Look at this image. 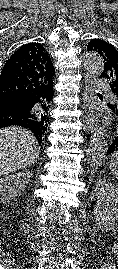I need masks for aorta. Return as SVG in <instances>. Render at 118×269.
<instances>
[{"label":"aorta","instance_id":"1","mask_svg":"<svg viewBox=\"0 0 118 269\" xmlns=\"http://www.w3.org/2000/svg\"><path fill=\"white\" fill-rule=\"evenodd\" d=\"M84 66L92 74L100 75L104 68V60L97 53H89L84 57ZM107 141L100 129H95L86 154V163L89 166L102 164L107 153Z\"/></svg>","mask_w":118,"mask_h":269}]
</instances>
